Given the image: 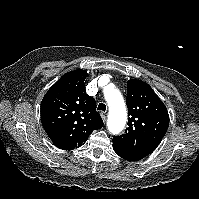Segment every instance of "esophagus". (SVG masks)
I'll list each match as a JSON object with an SVG mask.
<instances>
[{"mask_svg":"<svg viewBox=\"0 0 199 199\" xmlns=\"http://www.w3.org/2000/svg\"><path fill=\"white\" fill-rule=\"evenodd\" d=\"M101 117H102V120L105 122L107 117H106V114L105 113H101Z\"/></svg>","mask_w":199,"mask_h":199,"instance_id":"obj_1","label":"esophagus"}]
</instances>
